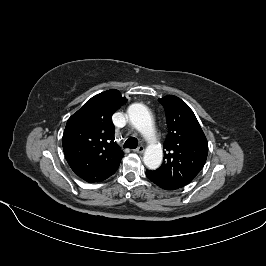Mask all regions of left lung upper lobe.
<instances>
[{"mask_svg": "<svg viewBox=\"0 0 266 266\" xmlns=\"http://www.w3.org/2000/svg\"><path fill=\"white\" fill-rule=\"evenodd\" d=\"M159 102L165 109L168 135L164 142V162L153 172L171 186L181 188L203 168L208 142L196 116L184 101L168 95Z\"/></svg>", "mask_w": 266, "mask_h": 266, "instance_id": "1", "label": "left lung upper lobe"}]
</instances>
